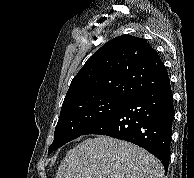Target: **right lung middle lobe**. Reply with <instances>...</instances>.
I'll list each match as a JSON object with an SVG mask.
<instances>
[{
  "mask_svg": "<svg viewBox=\"0 0 194 178\" xmlns=\"http://www.w3.org/2000/svg\"><path fill=\"white\" fill-rule=\"evenodd\" d=\"M125 101L127 100L112 97H91L63 105L48 154L83 135Z\"/></svg>",
  "mask_w": 194,
  "mask_h": 178,
  "instance_id": "obj_1",
  "label": "right lung middle lobe"
}]
</instances>
